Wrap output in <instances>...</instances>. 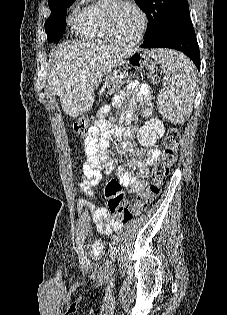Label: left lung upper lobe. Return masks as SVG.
I'll use <instances>...</instances> for the list:
<instances>
[{
  "instance_id": "left-lung-upper-lobe-1",
  "label": "left lung upper lobe",
  "mask_w": 227,
  "mask_h": 315,
  "mask_svg": "<svg viewBox=\"0 0 227 315\" xmlns=\"http://www.w3.org/2000/svg\"><path fill=\"white\" fill-rule=\"evenodd\" d=\"M146 13L149 24L146 38L156 34L167 24L190 17L187 0H135Z\"/></svg>"
}]
</instances>
